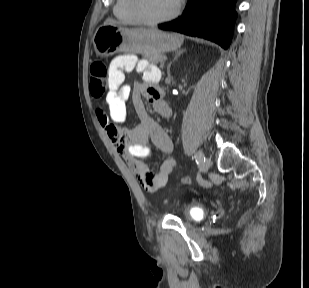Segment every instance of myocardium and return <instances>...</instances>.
<instances>
[{"label":"myocardium","instance_id":"1","mask_svg":"<svg viewBox=\"0 0 309 288\" xmlns=\"http://www.w3.org/2000/svg\"><path fill=\"white\" fill-rule=\"evenodd\" d=\"M141 4L142 0H130V10L137 21L145 25H158L174 19L181 12L184 5V0H178L177 5L172 12L166 16L156 19L147 17L142 11Z\"/></svg>","mask_w":309,"mask_h":288}]
</instances>
